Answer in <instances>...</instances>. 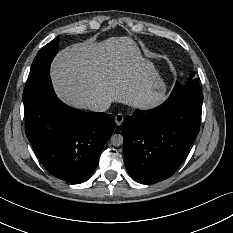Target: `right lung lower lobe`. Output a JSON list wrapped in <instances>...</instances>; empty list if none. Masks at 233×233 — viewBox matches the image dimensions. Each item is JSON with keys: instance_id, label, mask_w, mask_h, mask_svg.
<instances>
[{"instance_id": "right-lung-lower-lobe-1", "label": "right lung lower lobe", "mask_w": 233, "mask_h": 233, "mask_svg": "<svg viewBox=\"0 0 233 233\" xmlns=\"http://www.w3.org/2000/svg\"><path fill=\"white\" fill-rule=\"evenodd\" d=\"M24 106L26 135L44 167L72 184L87 180L111 136L114 117L68 107L56 97L50 78Z\"/></svg>"}]
</instances>
